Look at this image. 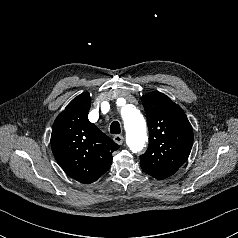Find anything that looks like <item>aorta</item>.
<instances>
[{
	"mask_svg": "<svg viewBox=\"0 0 238 238\" xmlns=\"http://www.w3.org/2000/svg\"><path fill=\"white\" fill-rule=\"evenodd\" d=\"M121 115L128 146L133 152L141 151L147 140L146 122L143 115L135 106L130 104L122 106Z\"/></svg>",
	"mask_w": 238,
	"mask_h": 238,
	"instance_id": "aorta-1",
	"label": "aorta"
}]
</instances>
